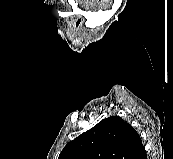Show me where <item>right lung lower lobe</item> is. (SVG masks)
Segmentation results:
<instances>
[{
    "label": "right lung lower lobe",
    "mask_w": 173,
    "mask_h": 159,
    "mask_svg": "<svg viewBox=\"0 0 173 159\" xmlns=\"http://www.w3.org/2000/svg\"><path fill=\"white\" fill-rule=\"evenodd\" d=\"M140 159H147L146 153H144V154L142 155V157H140Z\"/></svg>",
    "instance_id": "right-lung-lower-lobe-1"
}]
</instances>
